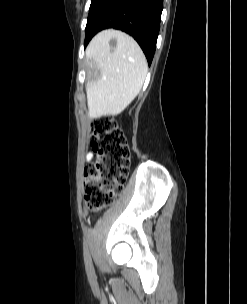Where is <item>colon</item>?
<instances>
[{"mask_svg":"<svg viewBox=\"0 0 247 304\" xmlns=\"http://www.w3.org/2000/svg\"><path fill=\"white\" fill-rule=\"evenodd\" d=\"M96 161L85 171L84 198L92 211L112 204L122 191L130 166V150L114 118L103 115L91 124Z\"/></svg>","mask_w":247,"mask_h":304,"instance_id":"obj_1","label":"colon"}]
</instances>
